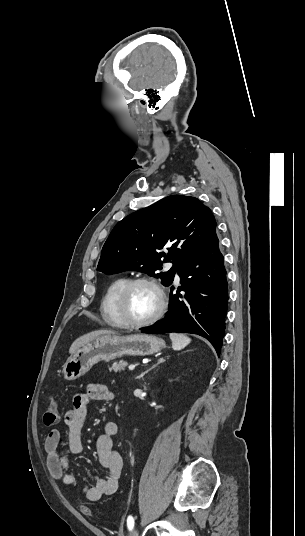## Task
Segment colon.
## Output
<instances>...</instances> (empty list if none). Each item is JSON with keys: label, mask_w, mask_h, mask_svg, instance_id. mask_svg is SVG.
Instances as JSON below:
<instances>
[{"label": "colon", "mask_w": 305, "mask_h": 536, "mask_svg": "<svg viewBox=\"0 0 305 536\" xmlns=\"http://www.w3.org/2000/svg\"><path fill=\"white\" fill-rule=\"evenodd\" d=\"M59 417V406L56 402L52 401L46 407L43 416V424L45 427L55 426L58 422ZM80 511L84 512L86 518H91L93 516V511L89 509L88 504L82 503L79 506Z\"/></svg>", "instance_id": "1"}]
</instances>
